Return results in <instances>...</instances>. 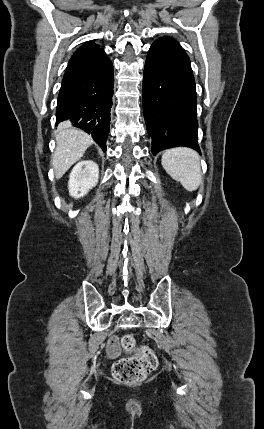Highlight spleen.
Instances as JSON below:
<instances>
[{"label":"spleen","mask_w":264,"mask_h":429,"mask_svg":"<svg viewBox=\"0 0 264 429\" xmlns=\"http://www.w3.org/2000/svg\"><path fill=\"white\" fill-rule=\"evenodd\" d=\"M163 168L172 179L188 191H195L202 182L200 157L198 153L187 147L166 150L161 160Z\"/></svg>","instance_id":"3e777b00"}]
</instances>
